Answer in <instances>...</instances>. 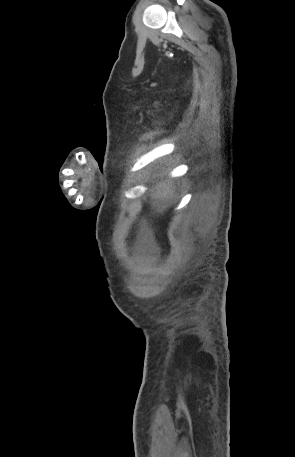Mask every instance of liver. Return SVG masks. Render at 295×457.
I'll return each mask as SVG.
<instances>
[{"label": "liver", "mask_w": 295, "mask_h": 457, "mask_svg": "<svg viewBox=\"0 0 295 457\" xmlns=\"http://www.w3.org/2000/svg\"><path fill=\"white\" fill-rule=\"evenodd\" d=\"M174 190L175 189L171 185V182L168 181L167 183H160L157 186V191H155L153 194V198H157L159 196H162V197L172 196L174 193Z\"/></svg>", "instance_id": "liver-1"}]
</instances>
